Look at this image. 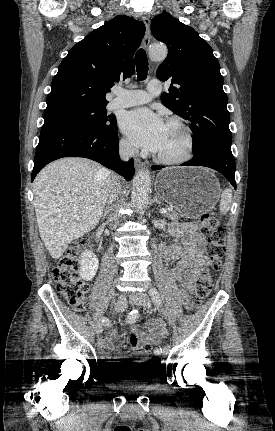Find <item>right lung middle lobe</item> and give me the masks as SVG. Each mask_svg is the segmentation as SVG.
<instances>
[{
	"label": "right lung middle lobe",
	"mask_w": 275,
	"mask_h": 431,
	"mask_svg": "<svg viewBox=\"0 0 275 431\" xmlns=\"http://www.w3.org/2000/svg\"><path fill=\"white\" fill-rule=\"evenodd\" d=\"M106 105L82 106L44 112V123L71 122L88 128L112 129L114 115H107Z\"/></svg>",
	"instance_id": "dd1d6c3e"
}]
</instances>
